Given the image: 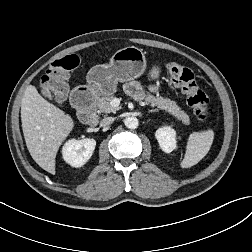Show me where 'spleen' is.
Listing matches in <instances>:
<instances>
[{"instance_id": "1", "label": "spleen", "mask_w": 252, "mask_h": 252, "mask_svg": "<svg viewBox=\"0 0 252 252\" xmlns=\"http://www.w3.org/2000/svg\"><path fill=\"white\" fill-rule=\"evenodd\" d=\"M214 132L211 129L193 132L189 135L184 159L181 162L182 168H190L202 160L209 152L213 143Z\"/></svg>"}]
</instances>
